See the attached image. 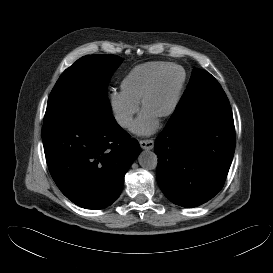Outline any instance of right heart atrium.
<instances>
[{
    "mask_svg": "<svg viewBox=\"0 0 273 273\" xmlns=\"http://www.w3.org/2000/svg\"><path fill=\"white\" fill-rule=\"evenodd\" d=\"M111 106L116 121L121 126L129 125L132 115L136 112L135 103L128 100L122 94H114L111 98Z\"/></svg>",
    "mask_w": 273,
    "mask_h": 273,
    "instance_id": "obj_1",
    "label": "right heart atrium"
}]
</instances>
